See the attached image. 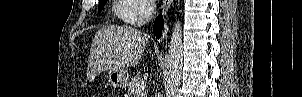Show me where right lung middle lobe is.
Returning a JSON list of instances; mask_svg holds the SVG:
<instances>
[{
  "mask_svg": "<svg viewBox=\"0 0 302 97\" xmlns=\"http://www.w3.org/2000/svg\"><path fill=\"white\" fill-rule=\"evenodd\" d=\"M106 1H107V0L99 1L98 12H101V11H102V9L104 8V6H105V4H106Z\"/></svg>",
  "mask_w": 302,
  "mask_h": 97,
  "instance_id": "right-lung-middle-lobe-1",
  "label": "right lung middle lobe"
}]
</instances>
